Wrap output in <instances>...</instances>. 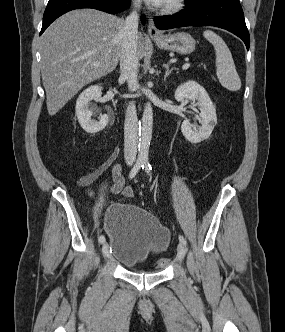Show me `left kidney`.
Returning <instances> with one entry per match:
<instances>
[{"mask_svg": "<svg viewBox=\"0 0 285 332\" xmlns=\"http://www.w3.org/2000/svg\"><path fill=\"white\" fill-rule=\"evenodd\" d=\"M175 99L178 102L184 100L198 101L201 111L200 127H192L188 119L182 122L181 132L186 140L196 144L207 139L217 123V116L215 107L204 87L195 81H187L178 86L175 91Z\"/></svg>", "mask_w": 285, "mask_h": 332, "instance_id": "left-kidney-1", "label": "left kidney"}]
</instances>
